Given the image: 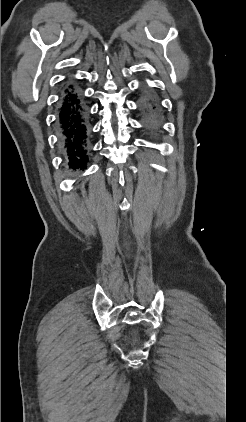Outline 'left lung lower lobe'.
<instances>
[{"instance_id":"left-lung-lower-lobe-1","label":"left lung lower lobe","mask_w":246,"mask_h":422,"mask_svg":"<svg viewBox=\"0 0 246 422\" xmlns=\"http://www.w3.org/2000/svg\"><path fill=\"white\" fill-rule=\"evenodd\" d=\"M140 108L145 114L148 127L152 130H156L159 118V107L152 93L146 90L143 92L140 100Z\"/></svg>"}]
</instances>
